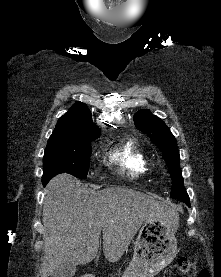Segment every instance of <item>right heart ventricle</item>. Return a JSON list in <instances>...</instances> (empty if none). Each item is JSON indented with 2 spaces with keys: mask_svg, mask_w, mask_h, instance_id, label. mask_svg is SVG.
I'll list each match as a JSON object with an SVG mask.
<instances>
[{
  "mask_svg": "<svg viewBox=\"0 0 221 277\" xmlns=\"http://www.w3.org/2000/svg\"><path fill=\"white\" fill-rule=\"evenodd\" d=\"M110 161L132 178L143 177L149 170L147 155L133 139H129L117 146L110 153Z\"/></svg>",
  "mask_w": 221,
  "mask_h": 277,
  "instance_id": "right-heart-ventricle-1",
  "label": "right heart ventricle"
}]
</instances>
